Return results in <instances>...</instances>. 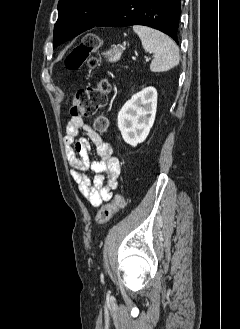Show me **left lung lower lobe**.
Listing matches in <instances>:
<instances>
[{
	"label": "left lung lower lobe",
	"mask_w": 240,
	"mask_h": 329,
	"mask_svg": "<svg viewBox=\"0 0 240 329\" xmlns=\"http://www.w3.org/2000/svg\"><path fill=\"white\" fill-rule=\"evenodd\" d=\"M180 14V0H119L95 26L145 25L164 32L178 43Z\"/></svg>",
	"instance_id": "obj_1"
}]
</instances>
